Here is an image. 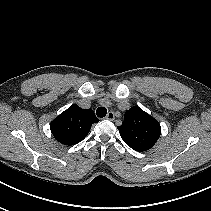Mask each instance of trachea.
<instances>
[{
  "instance_id": "1",
  "label": "trachea",
  "mask_w": 211,
  "mask_h": 211,
  "mask_svg": "<svg viewBox=\"0 0 211 211\" xmlns=\"http://www.w3.org/2000/svg\"><path fill=\"white\" fill-rule=\"evenodd\" d=\"M96 114L98 117L103 118L107 114V109L105 107H99L96 110Z\"/></svg>"
}]
</instances>
